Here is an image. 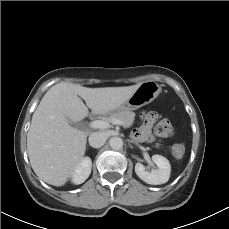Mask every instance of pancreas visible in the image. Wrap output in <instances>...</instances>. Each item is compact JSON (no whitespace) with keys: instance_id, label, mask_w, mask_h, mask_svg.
Returning <instances> with one entry per match:
<instances>
[{"instance_id":"cf45deb5","label":"pancreas","mask_w":229,"mask_h":229,"mask_svg":"<svg viewBox=\"0 0 229 229\" xmlns=\"http://www.w3.org/2000/svg\"><path fill=\"white\" fill-rule=\"evenodd\" d=\"M135 117V113L131 111H121L117 113H113L104 119L108 122H112L113 120H121L123 122V126L125 128L130 127L133 124Z\"/></svg>"}]
</instances>
